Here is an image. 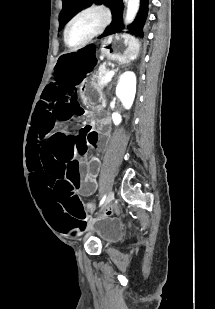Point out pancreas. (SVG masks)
Instances as JSON below:
<instances>
[{
  "label": "pancreas",
  "mask_w": 215,
  "mask_h": 309,
  "mask_svg": "<svg viewBox=\"0 0 215 309\" xmlns=\"http://www.w3.org/2000/svg\"><path fill=\"white\" fill-rule=\"evenodd\" d=\"M107 72H109L108 68H99L95 74V78L97 82H99L100 88L109 84L110 80H104V76H106Z\"/></svg>",
  "instance_id": "cf45deb5"
}]
</instances>
